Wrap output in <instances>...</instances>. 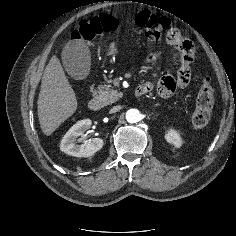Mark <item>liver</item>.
Here are the masks:
<instances>
[{
  "mask_svg": "<svg viewBox=\"0 0 236 236\" xmlns=\"http://www.w3.org/2000/svg\"><path fill=\"white\" fill-rule=\"evenodd\" d=\"M37 104L40 127L47 136L77 109L75 92L56 55L51 57L44 70Z\"/></svg>",
  "mask_w": 236,
  "mask_h": 236,
  "instance_id": "liver-1",
  "label": "liver"
}]
</instances>
